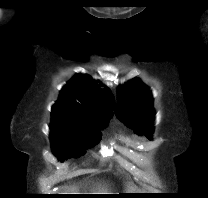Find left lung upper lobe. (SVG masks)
<instances>
[{
  "mask_svg": "<svg viewBox=\"0 0 208 198\" xmlns=\"http://www.w3.org/2000/svg\"><path fill=\"white\" fill-rule=\"evenodd\" d=\"M153 98L151 91L139 79H133L119 89L117 117L127 126L135 128L138 134L152 138Z\"/></svg>",
  "mask_w": 208,
  "mask_h": 198,
  "instance_id": "5c2ea615",
  "label": "left lung upper lobe"
}]
</instances>
